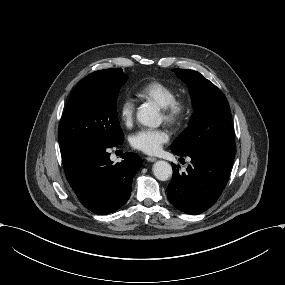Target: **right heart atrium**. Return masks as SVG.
Masks as SVG:
<instances>
[{
	"instance_id": "d8ad5b80",
	"label": "right heart atrium",
	"mask_w": 285,
	"mask_h": 285,
	"mask_svg": "<svg viewBox=\"0 0 285 285\" xmlns=\"http://www.w3.org/2000/svg\"><path fill=\"white\" fill-rule=\"evenodd\" d=\"M136 107L137 102L132 94L128 93L122 97L119 104V114L126 125L133 122Z\"/></svg>"
}]
</instances>
